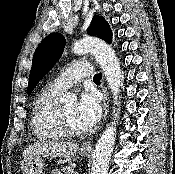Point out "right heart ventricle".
Returning a JSON list of instances; mask_svg holds the SVG:
<instances>
[{
	"label": "right heart ventricle",
	"instance_id": "e07e8e85",
	"mask_svg": "<svg viewBox=\"0 0 175 174\" xmlns=\"http://www.w3.org/2000/svg\"><path fill=\"white\" fill-rule=\"evenodd\" d=\"M58 95L50 88L36 97L31 117V127L36 138L42 141H59L65 135L60 127Z\"/></svg>",
	"mask_w": 175,
	"mask_h": 174
}]
</instances>
